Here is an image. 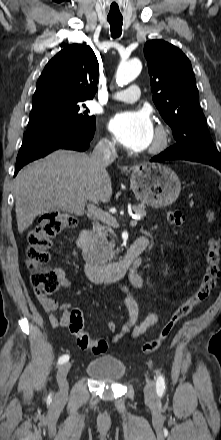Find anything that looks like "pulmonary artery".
Instances as JSON below:
<instances>
[{
    "label": "pulmonary artery",
    "instance_id": "obj_1",
    "mask_svg": "<svg viewBox=\"0 0 221 440\" xmlns=\"http://www.w3.org/2000/svg\"><path fill=\"white\" fill-rule=\"evenodd\" d=\"M140 97V88L137 85H132L127 89L120 90L113 95V99L122 102H135Z\"/></svg>",
    "mask_w": 221,
    "mask_h": 440
}]
</instances>
